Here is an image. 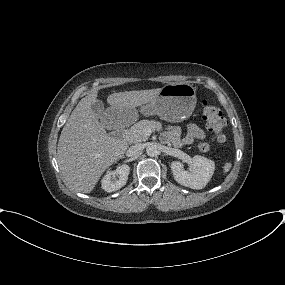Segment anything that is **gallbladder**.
Segmentation results:
<instances>
[{"instance_id": "gallbladder-1", "label": "gallbladder", "mask_w": 285, "mask_h": 285, "mask_svg": "<svg viewBox=\"0 0 285 285\" xmlns=\"http://www.w3.org/2000/svg\"><path fill=\"white\" fill-rule=\"evenodd\" d=\"M92 112L94 116L98 119H102L104 116V104L101 100H96L92 105H91Z\"/></svg>"}]
</instances>
